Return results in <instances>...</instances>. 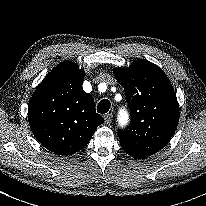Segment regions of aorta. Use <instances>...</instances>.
Segmentation results:
<instances>
[{"label": "aorta", "mask_w": 206, "mask_h": 206, "mask_svg": "<svg viewBox=\"0 0 206 206\" xmlns=\"http://www.w3.org/2000/svg\"><path fill=\"white\" fill-rule=\"evenodd\" d=\"M126 119V116H122V120L124 121Z\"/></svg>", "instance_id": "762f6f07"}]
</instances>
